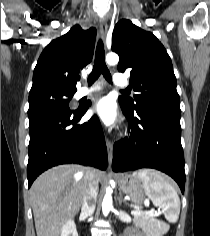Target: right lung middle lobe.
<instances>
[{"instance_id":"obj_1","label":"right lung middle lobe","mask_w":210,"mask_h":236,"mask_svg":"<svg viewBox=\"0 0 210 236\" xmlns=\"http://www.w3.org/2000/svg\"><path fill=\"white\" fill-rule=\"evenodd\" d=\"M73 95L74 93L61 91L41 92L37 94L33 100L29 101L28 116L30 117L54 109L70 110L69 102ZM81 108L82 107H79L77 110H80Z\"/></svg>"}]
</instances>
